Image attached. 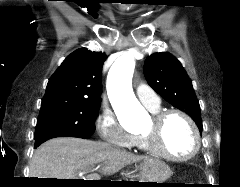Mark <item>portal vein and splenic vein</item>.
Wrapping results in <instances>:
<instances>
[{"instance_id": "obj_1", "label": "portal vein and splenic vein", "mask_w": 240, "mask_h": 187, "mask_svg": "<svg viewBox=\"0 0 240 187\" xmlns=\"http://www.w3.org/2000/svg\"><path fill=\"white\" fill-rule=\"evenodd\" d=\"M91 177H95V180H99V176L98 175H91Z\"/></svg>"}]
</instances>
